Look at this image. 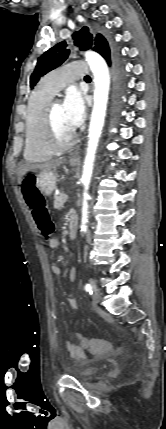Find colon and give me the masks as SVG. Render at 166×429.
<instances>
[{"mask_svg": "<svg viewBox=\"0 0 166 429\" xmlns=\"http://www.w3.org/2000/svg\"><path fill=\"white\" fill-rule=\"evenodd\" d=\"M22 193L40 232L45 238H48L54 232V223L50 218L46 201L38 190L34 175L30 174L24 179ZM76 336L80 345L93 353H108L114 348L113 344L107 340L90 339L81 334Z\"/></svg>", "mask_w": 166, "mask_h": 429, "instance_id": "1", "label": "colon"}]
</instances>
